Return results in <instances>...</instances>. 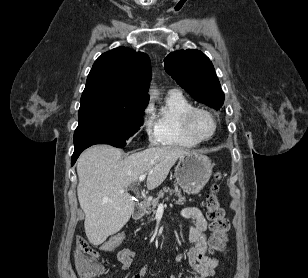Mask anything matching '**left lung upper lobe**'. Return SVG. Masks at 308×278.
<instances>
[{"label":"left lung upper lobe","mask_w":308,"mask_h":278,"mask_svg":"<svg viewBox=\"0 0 308 278\" xmlns=\"http://www.w3.org/2000/svg\"><path fill=\"white\" fill-rule=\"evenodd\" d=\"M169 75L198 102L216 110L224 102V93L209 58L199 50L170 53L164 59Z\"/></svg>","instance_id":"obj_1"}]
</instances>
